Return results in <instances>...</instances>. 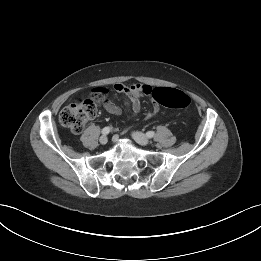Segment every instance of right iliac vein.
<instances>
[{"label": "right iliac vein", "mask_w": 261, "mask_h": 261, "mask_svg": "<svg viewBox=\"0 0 261 261\" xmlns=\"http://www.w3.org/2000/svg\"><path fill=\"white\" fill-rule=\"evenodd\" d=\"M99 142L102 144V145H105L107 142H108V138L106 135H103L100 137L99 139Z\"/></svg>", "instance_id": "right-iliac-vein-1"}]
</instances>
